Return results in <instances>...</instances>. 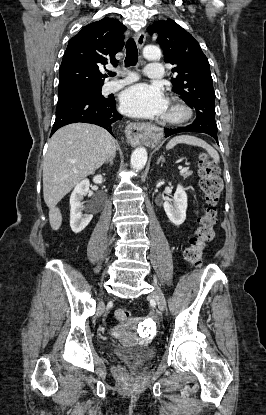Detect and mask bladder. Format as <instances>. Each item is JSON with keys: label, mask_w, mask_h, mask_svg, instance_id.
Returning <instances> with one entry per match:
<instances>
[{"label": "bladder", "mask_w": 266, "mask_h": 415, "mask_svg": "<svg viewBox=\"0 0 266 415\" xmlns=\"http://www.w3.org/2000/svg\"><path fill=\"white\" fill-rule=\"evenodd\" d=\"M111 351L118 357L137 364H144L151 360L155 355V349L151 346L115 345L112 347Z\"/></svg>", "instance_id": "1"}]
</instances>
